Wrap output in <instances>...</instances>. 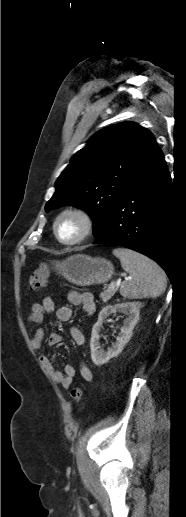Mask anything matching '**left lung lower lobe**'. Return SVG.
Here are the masks:
<instances>
[{"mask_svg": "<svg viewBox=\"0 0 186 517\" xmlns=\"http://www.w3.org/2000/svg\"><path fill=\"white\" fill-rule=\"evenodd\" d=\"M171 177L160 150L112 209L94 244L123 246L156 261L171 280Z\"/></svg>", "mask_w": 186, "mask_h": 517, "instance_id": "1", "label": "left lung lower lobe"}]
</instances>
